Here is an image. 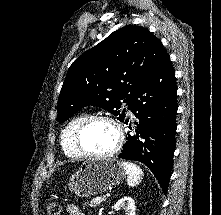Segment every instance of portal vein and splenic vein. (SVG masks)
Instances as JSON below:
<instances>
[{"label": "portal vein and splenic vein", "instance_id": "portal-vein-and-splenic-vein-1", "mask_svg": "<svg viewBox=\"0 0 221 215\" xmlns=\"http://www.w3.org/2000/svg\"><path fill=\"white\" fill-rule=\"evenodd\" d=\"M109 196H110V194H107V195H104L103 197H104V198H107V197H109Z\"/></svg>", "mask_w": 221, "mask_h": 215}]
</instances>
